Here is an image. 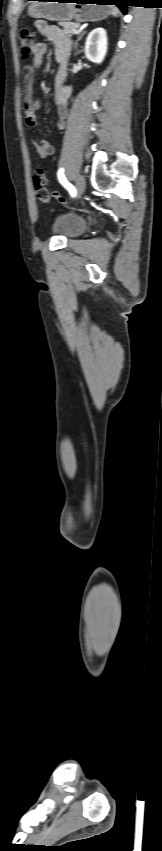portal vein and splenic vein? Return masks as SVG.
<instances>
[{
	"mask_svg": "<svg viewBox=\"0 0 162 851\" xmlns=\"http://www.w3.org/2000/svg\"><path fill=\"white\" fill-rule=\"evenodd\" d=\"M76 33H78V31H77V30L73 32V34H76Z\"/></svg>",
	"mask_w": 162,
	"mask_h": 851,
	"instance_id": "18ae733b",
	"label": "portal vein and splenic vein"
}]
</instances>
